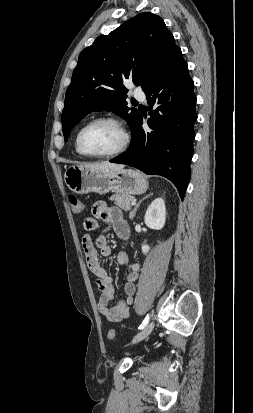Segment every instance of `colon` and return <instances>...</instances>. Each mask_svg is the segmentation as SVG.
Listing matches in <instances>:
<instances>
[{
    "mask_svg": "<svg viewBox=\"0 0 253 413\" xmlns=\"http://www.w3.org/2000/svg\"><path fill=\"white\" fill-rule=\"evenodd\" d=\"M68 202H69V204H70V206H71V209H72V211H73L74 213L80 214V213L83 212V210H84V205H83V203L80 201V199H79L76 195L70 194V195L68 196ZM107 337H108V339H110V340L115 339V337H116V332H115V330H114V329H109V330H108V333H107Z\"/></svg>",
    "mask_w": 253,
    "mask_h": 413,
    "instance_id": "colon-1",
    "label": "colon"
}]
</instances>
